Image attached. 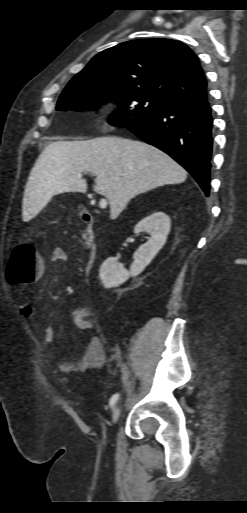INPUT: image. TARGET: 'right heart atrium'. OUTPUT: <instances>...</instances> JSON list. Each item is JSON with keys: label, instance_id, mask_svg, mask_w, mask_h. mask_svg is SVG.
I'll list each match as a JSON object with an SVG mask.
<instances>
[{"label": "right heart atrium", "instance_id": "d8ad5b80", "mask_svg": "<svg viewBox=\"0 0 247 513\" xmlns=\"http://www.w3.org/2000/svg\"><path fill=\"white\" fill-rule=\"evenodd\" d=\"M123 111V105L121 101L117 98L113 99L110 103V107L107 113V116L104 120L103 126L105 129L110 128L114 121L119 117V115Z\"/></svg>", "mask_w": 247, "mask_h": 513}]
</instances>
